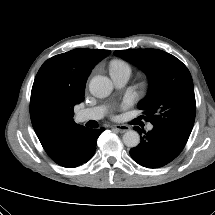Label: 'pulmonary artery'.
<instances>
[{
	"instance_id": "1",
	"label": "pulmonary artery",
	"mask_w": 215,
	"mask_h": 215,
	"mask_svg": "<svg viewBox=\"0 0 215 215\" xmlns=\"http://www.w3.org/2000/svg\"><path fill=\"white\" fill-rule=\"evenodd\" d=\"M129 74L127 73H119V74H111V78L113 83L117 88H122L126 85L129 79ZM106 112V108L104 106H97L92 108H87L79 111L77 113L76 119L78 122H86L89 120H99L101 119ZM148 130L153 129V125L149 124L147 126Z\"/></svg>"
}]
</instances>
